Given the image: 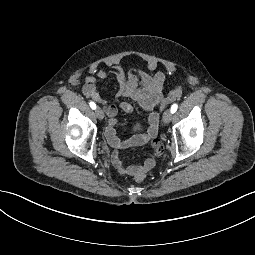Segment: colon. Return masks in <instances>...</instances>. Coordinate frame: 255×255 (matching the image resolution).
I'll list each match as a JSON object with an SVG mask.
<instances>
[{
    "label": "colon",
    "mask_w": 255,
    "mask_h": 255,
    "mask_svg": "<svg viewBox=\"0 0 255 255\" xmlns=\"http://www.w3.org/2000/svg\"><path fill=\"white\" fill-rule=\"evenodd\" d=\"M182 87L176 86L169 94L161 101L160 109L163 110L166 106L177 100L182 95ZM147 178V171H138L134 175V180L136 182H143Z\"/></svg>",
    "instance_id": "obj_1"
}]
</instances>
